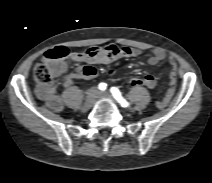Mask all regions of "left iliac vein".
<instances>
[{
  "label": "left iliac vein",
  "instance_id": "4c4485c4",
  "mask_svg": "<svg viewBox=\"0 0 212 183\" xmlns=\"http://www.w3.org/2000/svg\"><path fill=\"white\" fill-rule=\"evenodd\" d=\"M99 97H103V98H107V99H110L111 98L110 94L107 93V92L100 93Z\"/></svg>",
  "mask_w": 212,
  "mask_h": 183
}]
</instances>
